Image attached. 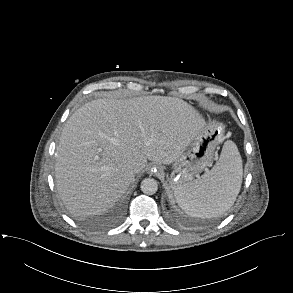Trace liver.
Listing matches in <instances>:
<instances>
[{"instance_id":"1","label":"liver","mask_w":293,"mask_h":293,"mask_svg":"<svg viewBox=\"0 0 293 293\" xmlns=\"http://www.w3.org/2000/svg\"><path fill=\"white\" fill-rule=\"evenodd\" d=\"M199 111L169 96L96 99L67 120L57 147L58 194L74 216L108 211L147 159L171 164L203 129ZM139 173V172H138Z\"/></svg>"}]
</instances>
